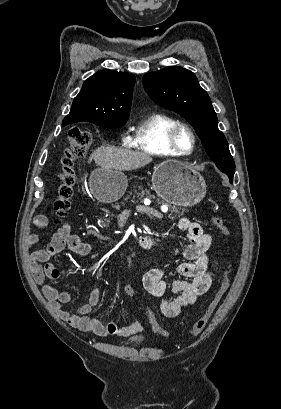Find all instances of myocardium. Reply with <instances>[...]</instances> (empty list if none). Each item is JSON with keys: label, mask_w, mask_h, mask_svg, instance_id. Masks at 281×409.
Returning <instances> with one entry per match:
<instances>
[{"label": "myocardium", "mask_w": 281, "mask_h": 409, "mask_svg": "<svg viewBox=\"0 0 281 409\" xmlns=\"http://www.w3.org/2000/svg\"><path fill=\"white\" fill-rule=\"evenodd\" d=\"M185 137H187L189 141L188 148H186L184 144ZM171 145L180 156L191 155L196 148V136L193 130L185 124L175 127L171 134Z\"/></svg>", "instance_id": "myocardium-1"}]
</instances>
